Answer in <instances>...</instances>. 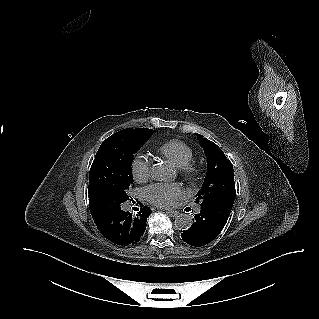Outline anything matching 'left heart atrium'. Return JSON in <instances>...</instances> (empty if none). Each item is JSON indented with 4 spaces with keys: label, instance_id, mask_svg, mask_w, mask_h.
I'll list each match as a JSON object with an SVG mask.
<instances>
[{
    "label": "left heart atrium",
    "instance_id": "obj_1",
    "mask_svg": "<svg viewBox=\"0 0 319 319\" xmlns=\"http://www.w3.org/2000/svg\"><path fill=\"white\" fill-rule=\"evenodd\" d=\"M181 194L182 189L176 183H155L144 189L146 199L160 207L171 206Z\"/></svg>",
    "mask_w": 319,
    "mask_h": 319
}]
</instances>
